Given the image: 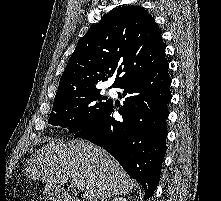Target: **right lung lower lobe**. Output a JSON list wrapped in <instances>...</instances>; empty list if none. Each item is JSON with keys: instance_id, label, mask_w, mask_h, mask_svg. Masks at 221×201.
<instances>
[{"instance_id": "obj_1", "label": "right lung lower lobe", "mask_w": 221, "mask_h": 201, "mask_svg": "<svg viewBox=\"0 0 221 201\" xmlns=\"http://www.w3.org/2000/svg\"><path fill=\"white\" fill-rule=\"evenodd\" d=\"M169 64L165 60L157 68L132 77L117 88L126 97L118 110L121 121L113 117V102L92 124L77 131L75 137L103 147L125 171L139 181L150 198L159 183L166 152L167 104L171 100ZM121 97V94H119Z\"/></svg>"}]
</instances>
